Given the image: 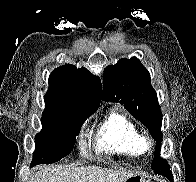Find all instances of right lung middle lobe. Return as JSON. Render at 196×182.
I'll use <instances>...</instances> for the list:
<instances>
[{
  "label": "right lung middle lobe",
  "instance_id": "right-lung-middle-lobe-1",
  "mask_svg": "<svg viewBox=\"0 0 196 182\" xmlns=\"http://www.w3.org/2000/svg\"><path fill=\"white\" fill-rule=\"evenodd\" d=\"M89 116L65 111L43 112V128L35 137L36 150L31 166L54 163L68 155Z\"/></svg>",
  "mask_w": 196,
  "mask_h": 182
}]
</instances>
